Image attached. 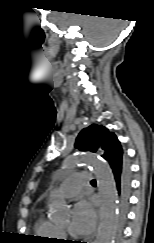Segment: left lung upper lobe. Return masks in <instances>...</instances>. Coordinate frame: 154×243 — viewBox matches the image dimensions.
Returning a JSON list of instances; mask_svg holds the SVG:
<instances>
[{
    "instance_id": "5c2ea615",
    "label": "left lung upper lobe",
    "mask_w": 154,
    "mask_h": 243,
    "mask_svg": "<svg viewBox=\"0 0 154 243\" xmlns=\"http://www.w3.org/2000/svg\"><path fill=\"white\" fill-rule=\"evenodd\" d=\"M75 147L81 151H101L102 157L108 162L114 158L123 159V150L118 138L101 125L93 124L84 128L76 139Z\"/></svg>"
}]
</instances>
